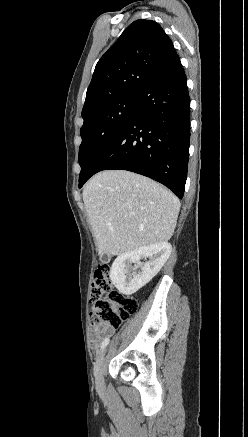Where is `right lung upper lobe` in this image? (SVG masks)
Wrapping results in <instances>:
<instances>
[{"label": "right lung upper lobe", "mask_w": 248, "mask_h": 437, "mask_svg": "<svg viewBox=\"0 0 248 437\" xmlns=\"http://www.w3.org/2000/svg\"><path fill=\"white\" fill-rule=\"evenodd\" d=\"M176 56L171 39L158 23L134 21L98 61L82 118L118 97L138 94Z\"/></svg>", "instance_id": "right-lung-upper-lobe-1"}]
</instances>
